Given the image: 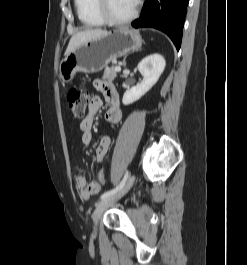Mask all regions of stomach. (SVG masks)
<instances>
[{
    "label": "stomach",
    "instance_id": "obj_1",
    "mask_svg": "<svg viewBox=\"0 0 247 265\" xmlns=\"http://www.w3.org/2000/svg\"><path fill=\"white\" fill-rule=\"evenodd\" d=\"M142 43L140 34L127 27L105 32L65 56L59 66L60 79L65 84L70 83L77 72H99L111 61L140 48Z\"/></svg>",
    "mask_w": 247,
    "mask_h": 265
}]
</instances>
